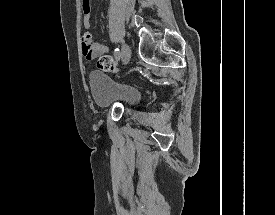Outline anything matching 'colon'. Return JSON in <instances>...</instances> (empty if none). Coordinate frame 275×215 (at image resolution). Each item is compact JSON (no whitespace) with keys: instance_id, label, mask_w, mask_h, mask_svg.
Instances as JSON below:
<instances>
[{"instance_id":"colon-1","label":"colon","mask_w":275,"mask_h":215,"mask_svg":"<svg viewBox=\"0 0 275 215\" xmlns=\"http://www.w3.org/2000/svg\"><path fill=\"white\" fill-rule=\"evenodd\" d=\"M84 1L87 2L88 0H84ZM97 64L100 69L106 72L115 73L118 70L117 62L107 55L100 56Z\"/></svg>"}]
</instances>
